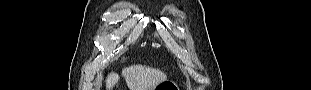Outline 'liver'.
<instances>
[{
	"label": "liver",
	"mask_w": 311,
	"mask_h": 90,
	"mask_svg": "<svg viewBox=\"0 0 311 90\" xmlns=\"http://www.w3.org/2000/svg\"><path fill=\"white\" fill-rule=\"evenodd\" d=\"M122 75L129 90H155L157 85L167 79L166 74L159 69L140 64L124 68ZM118 80L117 73H110L106 79V90H112Z\"/></svg>",
	"instance_id": "obj_1"
}]
</instances>
